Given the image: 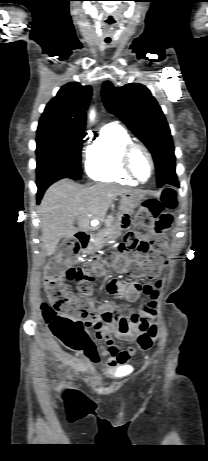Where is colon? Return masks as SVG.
<instances>
[{"label":"colon","mask_w":208,"mask_h":461,"mask_svg":"<svg viewBox=\"0 0 208 461\" xmlns=\"http://www.w3.org/2000/svg\"><path fill=\"white\" fill-rule=\"evenodd\" d=\"M176 206L177 197L172 189L164 190L161 200L149 199L143 203L134 216L135 229L125 235L122 250L146 253L148 260L139 262L121 256L115 261L118 271L131 278L155 279L158 270L169 263L165 250V231L171 226L173 217L163 210L174 209ZM83 243L84 239L81 237L79 241L69 240L47 264L44 269V287L49 302L41 305L52 334L75 350L92 343L83 320L94 315V305L87 296L91 292L95 276L103 272L102 265L98 262L82 266L70 265L74 253ZM66 281L77 284L79 296L68 290ZM156 337L157 326L143 323V330L138 337L140 349L148 350Z\"/></svg>","instance_id":"obj_1"}]
</instances>
